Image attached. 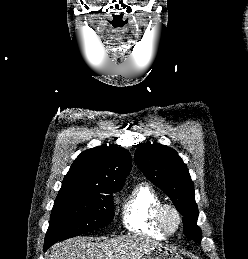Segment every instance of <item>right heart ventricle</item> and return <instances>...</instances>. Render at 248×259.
<instances>
[{
	"label": "right heart ventricle",
	"mask_w": 248,
	"mask_h": 259,
	"mask_svg": "<svg viewBox=\"0 0 248 259\" xmlns=\"http://www.w3.org/2000/svg\"><path fill=\"white\" fill-rule=\"evenodd\" d=\"M162 203V197L151 185H136L123 205L122 220L125 228L132 233L164 238L166 234L156 219L157 210Z\"/></svg>",
	"instance_id": "right-heart-ventricle-1"
}]
</instances>
